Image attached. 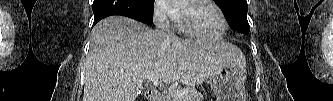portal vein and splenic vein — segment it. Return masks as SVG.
<instances>
[{
  "label": "portal vein and splenic vein",
  "mask_w": 333,
  "mask_h": 101,
  "mask_svg": "<svg viewBox=\"0 0 333 101\" xmlns=\"http://www.w3.org/2000/svg\"><path fill=\"white\" fill-rule=\"evenodd\" d=\"M148 80L153 82L154 85L161 84L159 82V77L156 75H150L148 76ZM169 91L174 94L177 98H181L183 94H185V90H174V89H169Z\"/></svg>",
  "instance_id": "1"
}]
</instances>
